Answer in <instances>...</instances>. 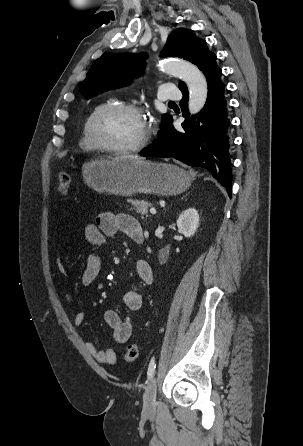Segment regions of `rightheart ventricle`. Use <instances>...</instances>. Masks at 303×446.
<instances>
[{
	"label": "right heart ventricle",
	"mask_w": 303,
	"mask_h": 446,
	"mask_svg": "<svg viewBox=\"0 0 303 446\" xmlns=\"http://www.w3.org/2000/svg\"><path fill=\"white\" fill-rule=\"evenodd\" d=\"M109 102V101H107ZM107 102H103V103H99L97 105H95L93 107V109L90 111V113L88 114V116L86 117L83 127H82V133H81V137H80V141H79V145L83 150L86 151H94L97 148L91 143L89 136H88V123L90 120V117L92 116V114L95 112V110L97 108H99L101 105L107 103Z\"/></svg>",
	"instance_id": "right-heart-ventricle-1"
}]
</instances>
